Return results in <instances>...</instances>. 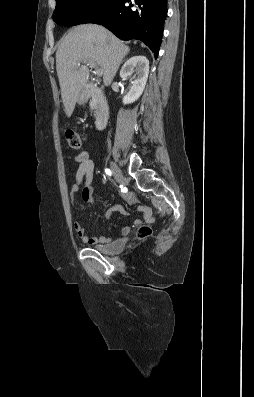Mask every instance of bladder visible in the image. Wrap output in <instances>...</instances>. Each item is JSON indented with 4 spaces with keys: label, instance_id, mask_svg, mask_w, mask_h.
<instances>
[{
    "label": "bladder",
    "instance_id": "obj_1",
    "mask_svg": "<svg viewBox=\"0 0 254 397\" xmlns=\"http://www.w3.org/2000/svg\"><path fill=\"white\" fill-rule=\"evenodd\" d=\"M125 247V242L117 240L106 245H99L95 247V250L102 254L113 255L121 252Z\"/></svg>",
    "mask_w": 254,
    "mask_h": 397
}]
</instances>
